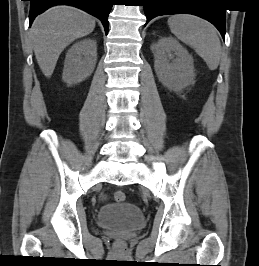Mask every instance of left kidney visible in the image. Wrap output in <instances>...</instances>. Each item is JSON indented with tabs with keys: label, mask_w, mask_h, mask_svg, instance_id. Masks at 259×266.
<instances>
[{
	"label": "left kidney",
	"mask_w": 259,
	"mask_h": 266,
	"mask_svg": "<svg viewBox=\"0 0 259 266\" xmlns=\"http://www.w3.org/2000/svg\"><path fill=\"white\" fill-rule=\"evenodd\" d=\"M154 58L159 81L169 90L180 92L194 83L193 57L172 36L158 40L154 45Z\"/></svg>",
	"instance_id": "left-kidney-1"
}]
</instances>
